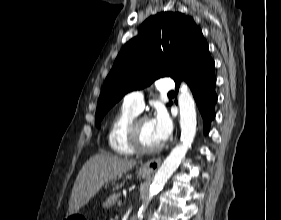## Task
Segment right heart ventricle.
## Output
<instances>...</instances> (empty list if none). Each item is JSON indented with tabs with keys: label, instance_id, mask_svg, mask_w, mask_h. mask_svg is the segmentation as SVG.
<instances>
[{
	"label": "right heart ventricle",
	"instance_id": "1",
	"mask_svg": "<svg viewBox=\"0 0 281 220\" xmlns=\"http://www.w3.org/2000/svg\"><path fill=\"white\" fill-rule=\"evenodd\" d=\"M139 112L123 103L111 121L107 141L110 149L120 156H133L136 151L130 146L127 131L132 120Z\"/></svg>",
	"mask_w": 281,
	"mask_h": 220
}]
</instances>
